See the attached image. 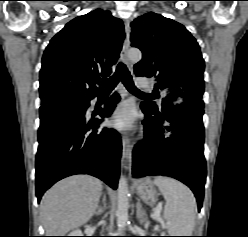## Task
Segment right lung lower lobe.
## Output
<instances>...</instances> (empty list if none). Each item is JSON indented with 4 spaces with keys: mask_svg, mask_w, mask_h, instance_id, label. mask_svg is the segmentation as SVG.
<instances>
[{
    "mask_svg": "<svg viewBox=\"0 0 248 237\" xmlns=\"http://www.w3.org/2000/svg\"><path fill=\"white\" fill-rule=\"evenodd\" d=\"M81 103L49 104L40 107L39 147L36 155V196L54 183L74 174L93 175L113 189L120 173L121 140L114 129H98L102 119L85 120L90 100ZM120 100L107 101L101 117L110 116Z\"/></svg>",
    "mask_w": 248,
    "mask_h": 237,
    "instance_id": "right-lung-lower-lobe-1",
    "label": "right lung lower lobe"
}]
</instances>
